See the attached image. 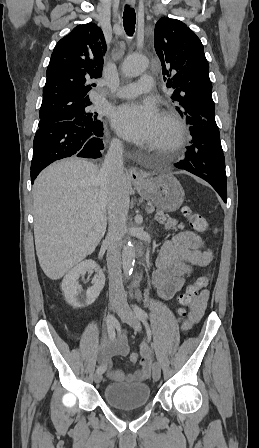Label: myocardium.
<instances>
[{
	"instance_id": "obj_1",
	"label": "myocardium",
	"mask_w": 259,
	"mask_h": 448,
	"mask_svg": "<svg viewBox=\"0 0 259 448\" xmlns=\"http://www.w3.org/2000/svg\"><path fill=\"white\" fill-rule=\"evenodd\" d=\"M161 120L165 122L170 130L171 137L161 150L175 153L180 148L184 137V124L180 115L172 108H167L162 114Z\"/></svg>"
}]
</instances>
